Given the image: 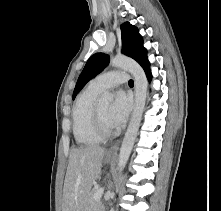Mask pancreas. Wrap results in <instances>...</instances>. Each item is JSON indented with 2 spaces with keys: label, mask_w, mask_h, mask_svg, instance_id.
<instances>
[{
  "label": "pancreas",
  "mask_w": 221,
  "mask_h": 211,
  "mask_svg": "<svg viewBox=\"0 0 221 211\" xmlns=\"http://www.w3.org/2000/svg\"><path fill=\"white\" fill-rule=\"evenodd\" d=\"M97 192V189H92L84 202V211H97V208L99 207L100 201L94 200V195Z\"/></svg>",
  "instance_id": "obj_1"
}]
</instances>
